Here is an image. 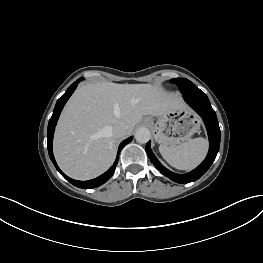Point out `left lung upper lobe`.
<instances>
[{
    "label": "left lung upper lobe",
    "mask_w": 263,
    "mask_h": 263,
    "mask_svg": "<svg viewBox=\"0 0 263 263\" xmlns=\"http://www.w3.org/2000/svg\"><path fill=\"white\" fill-rule=\"evenodd\" d=\"M171 82L176 83L182 93L195 92L200 90L194 83L186 78H174L171 80Z\"/></svg>",
    "instance_id": "1"
}]
</instances>
